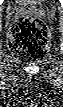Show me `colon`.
<instances>
[{
  "label": "colon",
  "instance_id": "colon-1",
  "mask_svg": "<svg viewBox=\"0 0 63 107\" xmlns=\"http://www.w3.org/2000/svg\"><path fill=\"white\" fill-rule=\"evenodd\" d=\"M50 35L47 26L36 19L25 18L16 23L9 33V46L22 61L42 59L49 47Z\"/></svg>",
  "mask_w": 63,
  "mask_h": 107
}]
</instances>
